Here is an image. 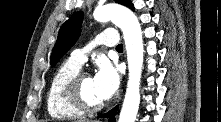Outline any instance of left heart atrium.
<instances>
[{
    "label": "left heart atrium",
    "mask_w": 221,
    "mask_h": 122,
    "mask_svg": "<svg viewBox=\"0 0 221 122\" xmlns=\"http://www.w3.org/2000/svg\"><path fill=\"white\" fill-rule=\"evenodd\" d=\"M93 80L96 92L103 101L112 97L120 84V77L116 67L106 59L99 61Z\"/></svg>",
    "instance_id": "obj_1"
}]
</instances>
